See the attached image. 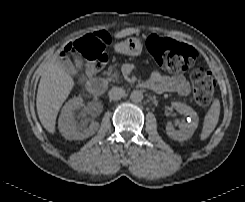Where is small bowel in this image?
Listing matches in <instances>:
<instances>
[{
	"label": "small bowel",
	"mask_w": 245,
	"mask_h": 202,
	"mask_svg": "<svg viewBox=\"0 0 245 202\" xmlns=\"http://www.w3.org/2000/svg\"><path fill=\"white\" fill-rule=\"evenodd\" d=\"M148 82L155 87L157 93L174 92L181 96L190 93V85L183 75L167 76L158 71H153L149 75Z\"/></svg>",
	"instance_id": "obj_1"
}]
</instances>
